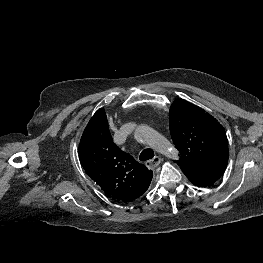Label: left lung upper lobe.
I'll return each mask as SVG.
<instances>
[{
    "instance_id": "obj_1",
    "label": "left lung upper lobe",
    "mask_w": 263,
    "mask_h": 263,
    "mask_svg": "<svg viewBox=\"0 0 263 263\" xmlns=\"http://www.w3.org/2000/svg\"><path fill=\"white\" fill-rule=\"evenodd\" d=\"M170 133L180 152L175 161L183 172H216L222 175L228 164L225 129L200 107L176 99L169 111Z\"/></svg>"
}]
</instances>
